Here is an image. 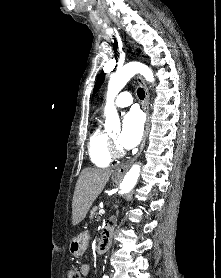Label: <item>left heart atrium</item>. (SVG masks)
Returning <instances> with one entry per match:
<instances>
[{
  "label": "left heart atrium",
  "mask_w": 221,
  "mask_h": 278,
  "mask_svg": "<svg viewBox=\"0 0 221 278\" xmlns=\"http://www.w3.org/2000/svg\"><path fill=\"white\" fill-rule=\"evenodd\" d=\"M143 116L137 110L129 111L123 119L122 132L118 136V144L125 148L135 147L141 140L143 134Z\"/></svg>",
  "instance_id": "1"
}]
</instances>
